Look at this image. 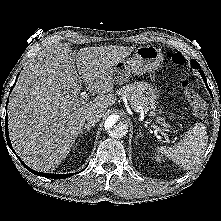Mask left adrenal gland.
<instances>
[{
    "mask_svg": "<svg viewBox=\"0 0 221 221\" xmlns=\"http://www.w3.org/2000/svg\"><path fill=\"white\" fill-rule=\"evenodd\" d=\"M140 137H143V134H142V132H141V128L139 127V132H138L136 138L138 139V138H140Z\"/></svg>",
    "mask_w": 221,
    "mask_h": 221,
    "instance_id": "left-adrenal-gland-1",
    "label": "left adrenal gland"
}]
</instances>
